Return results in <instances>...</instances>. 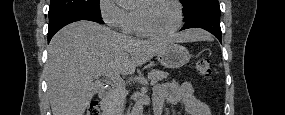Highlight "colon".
Instances as JSON below:
<instances>
[{
	"label": "colon",
	"mask_w": 285,
	"mask_h": 115,
	"mask_svg": "<svg viewBox=\"0 0 285 115\" xmlns=\"http://www.w3.org/2000/svg\"><path fill=\"white\" fill-rule=\"evenodd\" d=\"M196 71L205 78L210 77L212 74L210 62L207 59L199 60L196 63ZM99 113L98 102L96 100L91 101L86 110V115H98Z\"/></svg>",
	"instance_id": "5ec220e1"
}]
</instances>
